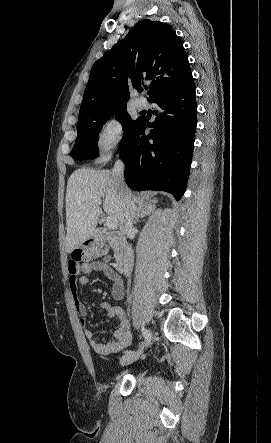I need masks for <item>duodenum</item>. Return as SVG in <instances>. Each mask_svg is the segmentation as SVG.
<instances>
[{"mask_svg": "<svg viewBox=\"0 0 271 443\" xmlns=\"http://www.w3.org/2000/svg\"><path fill=\"white\" fill-rule=\"evenodd\" d=\"M94 237L100 241H106L114 245L116 249L115 268L120 273L129 271L134 261V250L125 236L119 232L97 228Z\"/></svg>", "mask_w": 271, "mask_h": 443, "instance_id": "410a0bca", "label": "duodenum"}]
</instances>
